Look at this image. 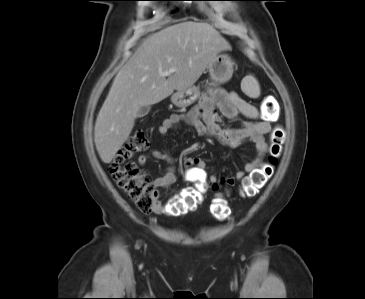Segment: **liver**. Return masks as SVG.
Instances as JSON below:
<instances>
[{
	"label": "liver",
	"mask_w": 365,
	"mask_h": 299,
	"mask_svg": "<svg viewBox=\"0 0 365 299\" xmlns=\"http://www.w3.org/2000/svg\"><path fill=\"white\" fill-rule=\"evenodd\" d=\"M230 49L203 22H179L145 39L117 73L97 116L94 142L101 160L112 161L132 132L140 107L192 87L214 58ZM171 68L176 71L168 78L160 75Z\"/></svg>",
	"instance_id": "liver-1"
}]
</instances>
